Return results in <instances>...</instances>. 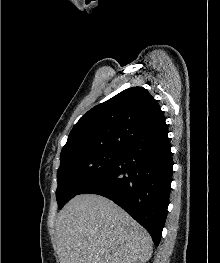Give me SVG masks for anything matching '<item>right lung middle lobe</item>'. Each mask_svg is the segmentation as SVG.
Returning a JSON list of instances; mask_svg holds the SVG:
<instances>
[{
	"label": "right lung middle lobe",
	"instance_id": "1",
	"mask_svg": "<svg viewBox=\"0 0 220 263\" xmlns=\"http://www.w3.org/2000/svg\"><path fill=\"white\" fill-rule=\"evenodd\" d=\"M124 149L93 148L60 155L56 199L61 209L66 202L120 160Z\"/></svg>",
	"mask_w": 220,
	"mask_h": 263
}]
</instances>
